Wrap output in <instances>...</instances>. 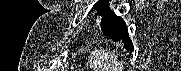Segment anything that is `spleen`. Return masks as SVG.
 I'll return each mask as SVG.
<instances>
[{
    "label": "spleen",
    "instance_id": "3e777b00",
    "mask_svg": "<svg viewBox=\"0 0 181 71\" xmlns=\"http://www.w3.org/2000/svg\"><path fill=\"white\" fill-rule=\"evenodd\" d=\"M90 66L95 71H122V64L116 57L104 50H97L90 59Z\"/></svg>",
    "mask_w": 181,
    "mask_h": 71
}]
</instances>
